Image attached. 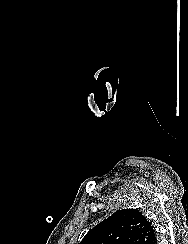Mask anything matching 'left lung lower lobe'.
I'll list each match as a JSON object with an SVG mask.
<instances>
[{"instance_id": "obj_1", "label": "left lung lower lobe", "mask_w": 188, "mask_h": 244, "mask_svg": "<svg viewBox=\"0 0 188 244\" xmlns=\"http://www.w3.org/2000/svg\"><path fill=\"white\" fill-rule=\"evenodd\" d=\"M153 244H157V240H155V241L153 242Z\"/></svg>"}]
</instances>
